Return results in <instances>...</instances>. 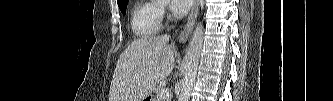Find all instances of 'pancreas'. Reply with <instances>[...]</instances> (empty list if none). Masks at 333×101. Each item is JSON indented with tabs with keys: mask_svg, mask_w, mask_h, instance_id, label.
Masks as SVG:
<instances>
[{
	"mask_svg": "<svg viewBox=\"0 0 333 101\" xmlns=\"http://www.w3.org/2000/svg\"><path fill=\"white\" fill-rule=\"evenodd\" d=\"M161 90V89H160ZM160 90L157 92V95H156V97H155V101H169V96L168 97H166V98H164V99H162L161 97H160Z\"/></svg>",
	"mask_w": 333,
	"mask_h": 101,
	"instance_id": "pancreas-1",
	"label": "pancreas"
}]
</instances>
